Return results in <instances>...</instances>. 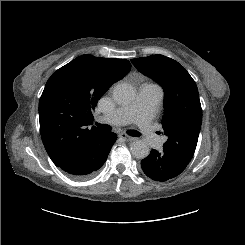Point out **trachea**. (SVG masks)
I'll use <instances>...</instances> for the list:
<instances>
[{
  "label": "trachea",
  "instance_id": "obj_1",
  "mask_svg": "<svg viewBox=\"0 0 245 245\" xmlns=\"http://www.w3.org/2000/svg\"><path fill=\"white\" fill-rule=\"evenodd\" d=\"M96 125H97L100 129H102V130H104V131H111V130H112L111 126H109V125L98 124V123H96ZM127 134H129V135H131V136H134V137H139V136H141V133L138 132V131H135V130H129V131H127Z\"/></svg>",
  "mask_w": 245,
  "mask_h": 245
}]
</instances>
